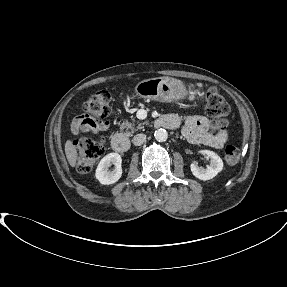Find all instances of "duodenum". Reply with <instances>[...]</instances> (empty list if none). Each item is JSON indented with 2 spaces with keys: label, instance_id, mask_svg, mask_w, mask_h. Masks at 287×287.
Instances as JSON below:
<instances>
[{
  "label": "duodenum",
  "instance_id": "duodenum-1",
  "mask_svg": "<svg viewBox=\"0 0 287 287\" xmlns=\"http://www.w3.org/2000/svg\"><path fill=\"white\" fill-rule=\"evenodd\" d=\"M157 122L163 128L173 129L176 127L175 122L167 116L159 118ZM111 147L115 152L122 153L129 150L130 143L126 136L116 133L111 137Z\"/></svg>",
  "mask_w": 287,
  "mask_h": 287
}]
</instances>
